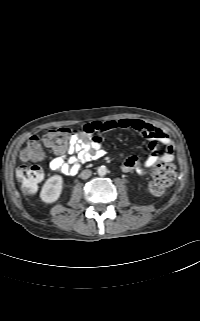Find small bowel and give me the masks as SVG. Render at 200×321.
<instances>
[{
	"instance_id": "1",
	"label": "small bowel",
	"mask_w": 200,
	"mask_h": 321,
	"mask_svg": "<svg viewBox=\"0 0 200 321\" xmlns=\"http://www.w3.org/2000/svg\"><path fill=\"white\" fill-rule=\"evenodd\" d=\"M116 129L124 130L129 135L133 132L140 133L151 143L148 155L143 161H140L134 155L127 156L124 159L122 164L124 172H135L139 176H144L149 168L156 165L160 160L165 159L168 154L173 156L172 142L168 134L150 123L140 119L126 118L93 121L85 124L80 131L72 133L65 149H54L56 156L50 161V169L64 175L76 174L80 164L97 159L103 155L101 138L98 134ZM158 144L166 146V151L162 156L157 152ZM66 155H68L67 158Z\"/></svg>"
}]
</instances>
